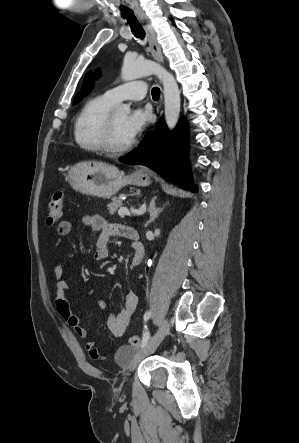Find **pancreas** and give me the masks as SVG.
I'll list each match as a JSON object with an SVG mask.
<instances>
[{
    "instance_id": "cf45deb5",
    "label": "pancreas",
    "mask_w": 299,
    "mask_h": 443,
    "mask_svg": "<svg viewBox=\"0 0 299 443\" xmlns=\"http://www.w3.org/2000/svg\"><path fill=\"white\" fill-rule=\"evenodd\" d=\"M122 196L112 198V201L108 204V211L113 215L118 208L123 206Z\"/></svg>"
}]
</instances>
